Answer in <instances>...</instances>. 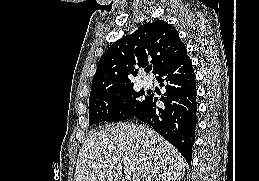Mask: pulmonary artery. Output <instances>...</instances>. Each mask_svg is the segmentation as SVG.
Masks as SVG:
<instances>
[{
  "label": "pulmonary artery",
  "instance_id": "obj_1",
  "mask_svg": "<svg viewBox=\"0 0 259 181\" xmlns=\"http://www.w3.org/2000/svg\"><path fill=\"white\" fill-rule=\"evenodd\" d=\"M142 85L145 87V88H150L152 86V82L150 80H143L142 81Z\"/></svg>",
  "mask_w": 259,
  "mask_h": 181
}]
</instances>
